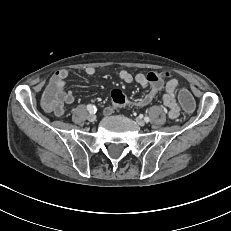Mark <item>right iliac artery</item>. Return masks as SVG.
<instances>
[{
  "label": "right iliac artery",
  "instance_id": "right-iliac-artery-1",
  "mask_svg": "<svg viewBox=\"0 0 231 231\" xmlns=\"http://www.w3.org/2000/svg\"><path fill=\"white\" fill-rule=\"evenodd\" d=\"M87 110H88L90 113H95V112H96V107H95L94 105L88 104V105H87Z\"/></svg>",
  "mask_w": 231,
  "mask_h": 231
}]
</instances>
